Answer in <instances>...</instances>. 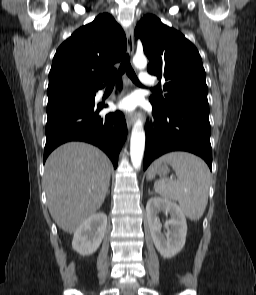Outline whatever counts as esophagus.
Wrapping results in <instances>:
<instances>
[{
  "instance_id": "esophagus-1",
  "label": "esophagus",
  "mask_w": 256,
  "mask_h": 295,
  "mask_svg": "<svg viewBox=\"0 0 256 295\" xmlns=\"http://www.w3.org/2000/svg\"><path fill=\"white\" fill-rule=\"evenodd\" d=\"M127 52L129 56L132 57L134 53V28L132 25L129 26L128 32H127ZM135 118L136 117L134 113L126 114V122L129 129L134 124Z\"/></svg>"
}]
</instances>
